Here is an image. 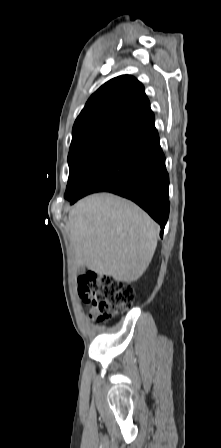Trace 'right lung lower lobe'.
Masks as SVG:
<instances>
[{"instance_id":"98d812e1","label":"right lung lower lobe","mask_w":221,"mask_h":448,"mask_svg":"<svg viewBox=\"0 0 221 448\" xmlns=\"http://www.w3.org/2000/svg\"><path fill=\"white\" fill-rule=\"evenodd\" d=\"M169 176L154 120L118 142L102 159L71 204L95 192H111L143 208L162 228L169 215Z\"/></svg>"}]
</instances>
